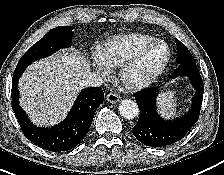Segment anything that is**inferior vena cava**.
I'll return each instance as SVG.
<instances>
[{
    "label": "inferior vena cava",
    "instance_id": "inferior-vena-cava-1",
    "mask_svg": "<svg viewBox=\"0 0 224 175\" xmlns=\"http://www.w3.org/2000/svg\"><path fill=\"white\" fill-rule=\"evenodd\" d=\"M103 84L102 77L94 72H90L83 80L82 87H99Z\"/></svg>",
    "mask_w": 224,
    "mask_h": 175
}]
</instances>
